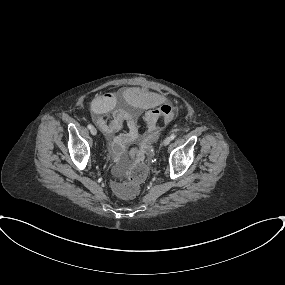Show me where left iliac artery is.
I'll use <instances>...</instances> for the list:
<instances>
[{
    "label": "left iliac artery",
    "instance_id": "44dca946",
    "mask_svg": "<svg viewBox=\"0 0 285 285\" xmlns=\"http://www.w3.org/2000/svg\"><path fill=\"white\" fill-rule=\"evenodd\" d=\"M170 138H171V140H173V139L176 138V135H175V134H172V135L170 136Z\"/></svg>",
    "mask_w": 285,
    "mask_h": 285
}]
</instances>
